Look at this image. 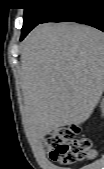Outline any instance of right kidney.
<instances>
[{
	"label": "right kidney",
	"mask_w": 104,
	"mask_h": 169,
	"mask_svg": "<svg viewBox=\"0 0 104 169\" xmlns=\"http://www.w3.org/2000/svg\"><path fill=\"white\" fill-rule=\"evenodd\" d=\"M101 108H103V103H101Z\"/></svg>",
	"instance_id": "1"
}]
</instances>
